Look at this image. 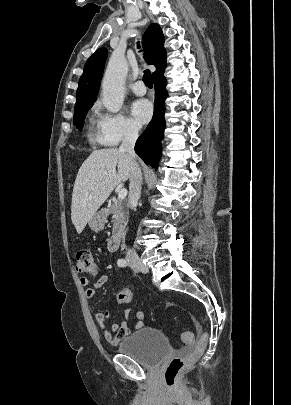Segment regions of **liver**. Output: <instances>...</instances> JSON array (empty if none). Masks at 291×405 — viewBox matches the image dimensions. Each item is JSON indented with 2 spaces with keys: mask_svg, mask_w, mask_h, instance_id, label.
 Wrapping results in <instances>:
<instances>
[{
  "mask_svg": "<svg viewBox=\"0 0 291 405\" xmlns=\"http://www.w3.org/2000/svg\"><path fill=\"white\" fill-rule=\"evenodd\" d=\"M131 162L127 153L116 148L95 150L83 162L75 179L71 204V220L78 234L114 188L130 178Z\"/></svg>",
  "mask_w": 291,
  "mask_h": 405,
  "instance_id": "obj_1",
  "label": "liver"
}]
</instances>
